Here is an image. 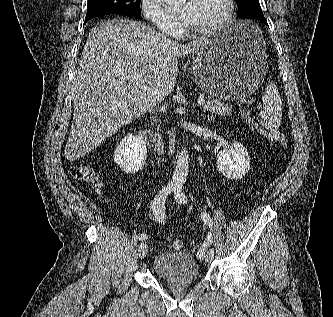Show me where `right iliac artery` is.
Wrapping results in <instances>:
<instances>
[{"label":"right iliac artery","instance_id":"right-iliac-artery-1","mask_svg":"<svg viewBox=\"0 0 333 317\" xmlns=\"http://www.w3.org/2000/svg\"><path fill=\"white\" fill-rule=\"evenodd\" d=\"M175 185L168 184L163 187L159 193L155 196L153 203H152V212L154 218L159 222L165 221V201L167 196L174 190ZM139 240L144 241L148 238V235L142 233L139 235Z\"/></svg>","mask_w":333,"mask_h":317}]
</instances>
